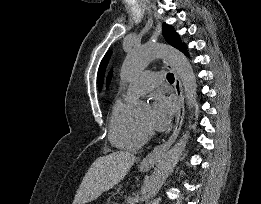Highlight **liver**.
<instances>
[{"mask_svg": "<svg viewBox=\"0 0 261 204\" xmlns=\"http://www.w3.org/2000/svg\"><path fill=\"white\" fill-rule=\"evenodd\" d=\"M136 157L124 151L98 157L85 174L72 204H85L113 188L128 173Z\"/></svg>", "mask_w": 261, "mask_h": 204, "instance_id": "1", "label": "liver"}]
</instances>
